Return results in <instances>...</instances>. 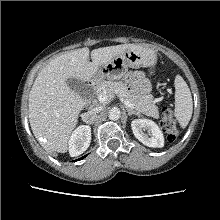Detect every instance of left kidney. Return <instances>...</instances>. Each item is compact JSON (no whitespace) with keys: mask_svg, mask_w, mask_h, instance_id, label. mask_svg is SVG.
I'll list each match as a JSON object with an SVG mask.
<instances>
[{"mask_svg":"<svg viewBox=\"0 0 220 220\" xmlns=\"http://www.w3.org/2000/svg\"><path fill=\"white\" fill-rule=\"evenodd\" d=\"M131 127L135 137L144 145L152 148H161L164 146L163 133L152 120L135 119L131 122ZM143 130H147L148 135Z\"/></svg>","mask_w":220,"mask_h":220,"instance_id":"left-kidney-1","label":"left kidney"}]
</instances>
